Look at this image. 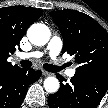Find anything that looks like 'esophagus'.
I'll return each instance as SVG.
<instances>
[{"label":"esophagus","mask_w":108,"mask_h":108,"mask_svg":"<svg viewBox=\"0 0 108 108\" xmlns=\"http://www.w3.org/2000/svg\"><path fill=\"white\" fill-rule=\"evenodd\" d=\"M42 74L45 76H52V73L42 70Z\"/></svg>","instance_id":"34e87169"}]
</instances>
